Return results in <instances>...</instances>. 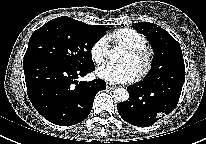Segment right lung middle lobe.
I'll use <instances>...</instances> for the list:
<instances>
[{"mask_svg":"<svg viewBox=\"0 0 206 144\" xmlns=\"http://www.w3.org/2000/svg\"><path fill=\"white\" fill-rule=\"evenodd\" d=\"M108 29L67 16L55 18L34 31L23 61L48 60L71 68L93 65L91 49Z\"/></svg>","mask_w":206,"mask_h":144,"instance_id":"1","label":"right lung middle lobe"}]
</instances>
